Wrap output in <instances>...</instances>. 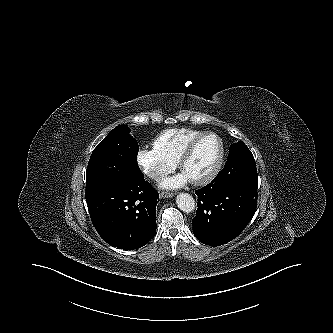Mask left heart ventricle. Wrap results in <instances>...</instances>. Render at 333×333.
Wrapping results in <instances>:
<instances>
[{
  "label": "left heart ventricle",
  "mask_w": 333,
  "mask_h": 333,
  "mask_svg": "<svg viewBox=\"0 0 333 333\" xmlns=\"http://www.w3.org/2000/svg\"><path fill=\"white\" fill-rule=\"evenodd\" d=\"M218 153L219 143L215 137L209 136L203 139L184 164L182 172L190 180L203 176L215 163Z\"/></svg>",
  "instance_id": "left-heart-ventricle-1"
}]
</instances>
